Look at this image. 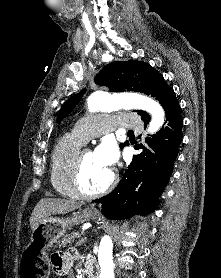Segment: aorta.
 I'll return each mask as SVG.
<instances>
[{
  "mask_svg": "<svg viewBox=\"0 0 221 278\" xmlns=\"http://www.w3.org/2000/svg\"><path fill=\"white\" fill-rule=\"evenodd\" d=\"M89 112L110 111L118 108L141 109L151 115L148 132L153 134L163 125L165 113L156 101L138 94L114 97L102 91L91 94L87 100ZM100 278H114L113 272V242L109 236L101 239L98 251Z\"/></svg>",
  "mask_w": 221,
  "mask_h": 278,
  "instance_id": "762f6f07",
  "label": "aorta"
}]
</instances>
